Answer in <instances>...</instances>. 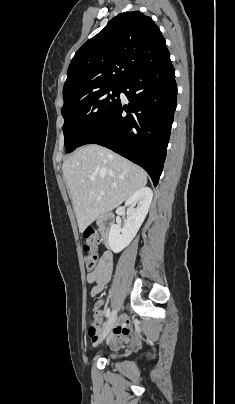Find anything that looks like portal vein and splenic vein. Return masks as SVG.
<instances>
[{"mask_svg": "<svg viewBox=\"0 0 235 404\" xmlns=\"http://www.w3.org/2000/svg\"><path fill=\"white\" fill-rule=\"evenodd\" d=\"M90 180L94 181V180H95V178H94V177H90Z\"/></svg>", "mask_w": 235, "mask_h": 404, "instance_id": "18ae733b", "label": "portal vein and splenic vein"}]
</instances>
